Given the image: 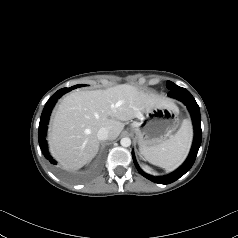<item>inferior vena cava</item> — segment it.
<instances>
[{
  "label": "inferior vena cava",
  "mask_w": 238,
  "mask_h": 238,
  "mask_svg": "<svg viewBox=\"0 0 238 238\" xmlns=\"http://www.w3.org/2000/svg\"><path fill=\"white\" fill-rule=\"evenodd\" d=\"M109 137V131L107 128L102 127L97 132V138L98 140H107Z\"/></svg>",
  "instance_id": "obj_1"
}]
</instances>
